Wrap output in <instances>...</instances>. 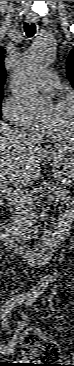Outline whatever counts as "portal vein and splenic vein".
<instances>
[{
    "label": "portal vein and splenic vein",
    "instance_id": "1",
    "mask_svg": "<svg viewBox=\"0 0 74 366\" xmlns=\"http://www.w3.org/2000/svg\"><path fill=\"white\" fill-rule=\"evenodd\" d=\"M3 192L9 199H28L27 194H24L22 191L12 190L11 188L4 187ZM29 199L32 200V198Z\"/></svg>",
    "mask_w": 74,
    "mask_h": 366
}]
</instances>
